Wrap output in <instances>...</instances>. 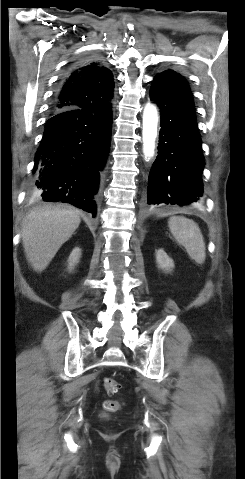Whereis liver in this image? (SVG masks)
I'll return each instance as SVG.
<instances>
[{
    "label": "liver",
    "instance_id": "1",
    "mask_svg": "<svg viewBox=\"0 0 245 479\" xmlns=\"http://www.w3.org/2000/svg\"><path fill=\"white\" fill-rule=\"evenodd\" d=\"M80 222L77 211L60 206L37 208L25 217L21 230L22 243L26 258L36 272L47 268Z\"/></svg>",
    "mask_w": 245,
    "mask_h": 479
}]
</instances>
